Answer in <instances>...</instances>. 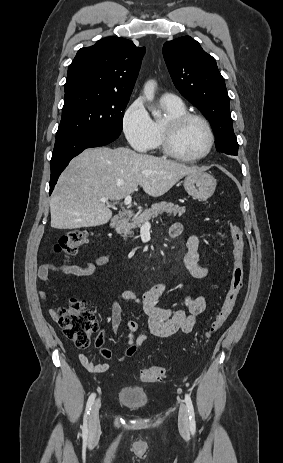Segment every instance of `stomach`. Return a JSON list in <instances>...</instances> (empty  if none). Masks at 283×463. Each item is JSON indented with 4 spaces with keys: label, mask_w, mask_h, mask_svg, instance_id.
I'll return each instance as SVG.
<instances>
[{
    "label": "stomach",
    "mask_w": 283,
    "mask_h": 463,
    "mask_svg": "<svg viewBox=\"0 0 283 463\" xmlns=\"http://www.w3.org/2000/svg\"><path fill=\"white\" fill-rule=\"evenodd\" d=\"M186 192L194 199L205 201L216 189V179L203 171L186 175L183 180Z\"/></svg>",
    "instance_id": "stomach-1"
}]
</instances>
